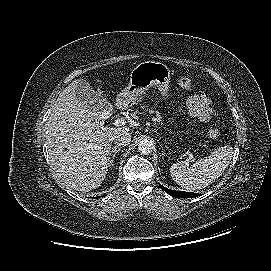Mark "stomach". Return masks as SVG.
<instances>
[{
	"instance_id": "1",
	"label": "stomach",
	"mask_w": 271,
	"mask_h": 271,
	"mask_svg": "<svg viewBox=\"0 0 271 271\" xmlns=\"http://www.w3.org/2000/svg\"><path fill=\"white\" fill-rule=\"evenodd\" d=\"M170 79L171 71L167 65L155 61L142 62L131 71L128 85L117 95V103L127 107L152 86H156L165 97Z\"/></svg>"
}]
</instances>
